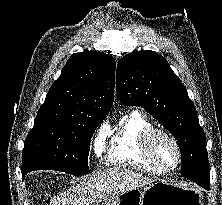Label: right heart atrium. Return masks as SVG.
Masks as SVG:
<instances>
[{"instance_id": "right-heart-atrium-1", "label": "right heart atrium", "mask_w": 222, "mask_h": 205, "mask_svg": "<svg viewBox=\"0 0 222 205\" xmlns=\"http://www.w3.org/2000/svg\"><path fill=\"white\" fill-rule=\"evenodd\" d=\"M106 133H107L106 127L103 126L98 130L96 134V137L94 139V150L97 155H100L104 149L106 141Z\"/></svg>"}]
</instances>
